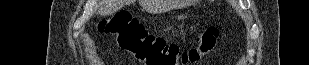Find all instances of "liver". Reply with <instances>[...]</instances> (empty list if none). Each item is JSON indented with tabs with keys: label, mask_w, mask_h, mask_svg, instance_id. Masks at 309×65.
<instances>
[{
	"label": "liver",
	"mask_w": 309,
	"mask_h": 65,
	"mask_svg": "<svg viewBox=\"0 0 309 65\" xmlns=\"http://www.w3.org/2000/svg\"><path fill=\"white\" fill-rule=\"evenodd\" d=\"M124 4V0H99L98 13L101 16L111 15L121 9ZM140 4L149 11L158 10L160 8V5L156 0H140Z\"/></svg>",
	"instance_id": "liver-1"
}]
</instances>
